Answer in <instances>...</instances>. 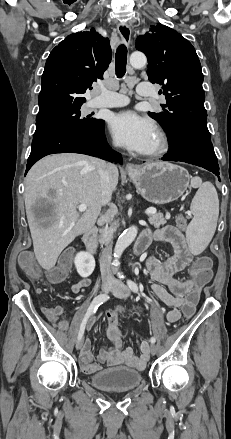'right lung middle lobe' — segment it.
Instances as JSON below:
<instances>
[{
    "instance_id": "1",
    "label": "right lung middle lobe",
    "mask_w": 231,
    "mask_h": 439,
    "mask_svg": "<svg viewBox=\"0 0 231 439\" xmlns=\"http://www.w3.org/2000/svg\"><path fill=\"white\" fill-rule=\"evenodd\" d=\"M80 107L60 111L42 118H36L34 137L56 131L90 132L102 126L101 119L81 117Z\"/></svg>"
}]
</instances>
